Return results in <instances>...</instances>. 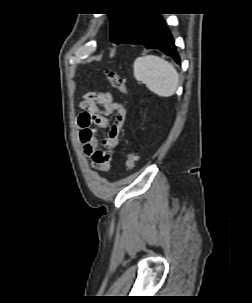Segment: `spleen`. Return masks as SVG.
Returning a JSON list of instances; mask_svg holds the SVG:
<instances>
[{"mask_svg": "<svg viewBox=\"0 0 252 303\" xmlns=\"http://www.w3.org/2000/svg\"><path fill=\"white\" fill-rule=\"evenodd\" d=\"M134 76L160 97L174 95L179 76L171 63L155 55L138 57L133 64Z\"/></svg>", "mask_w": 252, "mask_h": 303, "instance_id": "1", "label": "spleen"}]
</instances>
